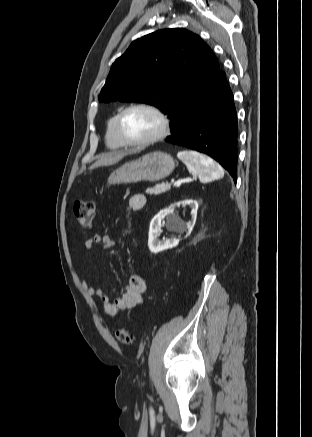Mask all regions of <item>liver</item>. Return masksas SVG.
<instances>
[{
    "instance_id": "liver-1",
    "label": "liver",
    "mask_w": 312,
    "mask_h": 437,
    "mask_svg": "<svg viewBox=\"0 0 312 437\" xmlns=\"http://www.w3.org/2000/svg\"><path fill=\"white\" fill-rule=\"evenodd\" d=\"M138 152V150H131V151H120V152H113L106 154L105 156H102L100 159H98L94 164L90 166V170L101 167V166H110L113 164H116L120 160H122L125 156L134 154Z\"/></svg>"
}]
</instances>
